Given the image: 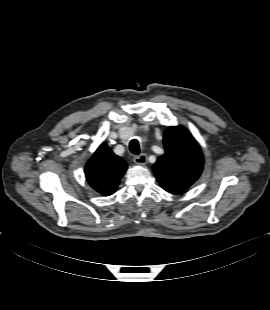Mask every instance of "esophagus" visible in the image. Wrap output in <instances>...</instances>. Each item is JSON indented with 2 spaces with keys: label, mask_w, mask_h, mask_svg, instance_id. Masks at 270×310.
Masks as SVG:
<instances>
[{
  "label": "esophagus",
  "mask_w": 270,
  "mask_h": 310,
  "mask_svg": "<svg viewBox=\"0 0 270 310\" xmlns=\"http://www.w3.org/2000/svg\"><path fill=\"white\" fill-rule=\"evenodd\" d=\"M134 162L138 165H145L147 163V155L141 154L134 158Z\"/></svg>",
  "instance_id": "1"
}]
</instances>
